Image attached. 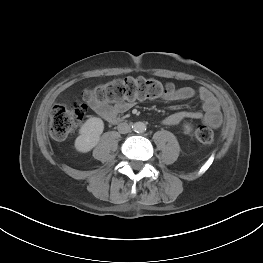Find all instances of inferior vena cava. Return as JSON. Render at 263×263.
I'll return each instance as SVG.
<instances>
[{"mask_svg": "<svg viewBox=\"0 0 263 263\" xmlns=\"http://www.w3.org/2000/svg\"><path fill=\"white\" fill-rule=\"evenodd\" d=\"M117 129H118L119 133H121V134H126V133L130 132V130H131L130 126L126 122L120 123L117 126Z\"/></svg>", "mask_w": 263, "mask_h": 263, "instance_id": "602c4592", "label": "inferior vena cava"}]
</instances>
